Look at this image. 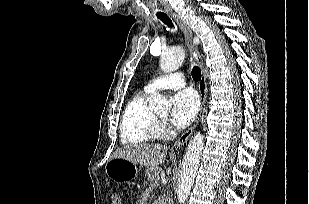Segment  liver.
Here are the masks:
<instances>
[{
    "label": "liver",
    "mask_w": 309,
    "mask_h": 204,
    "mask_svg": "<svg viewBox=\"0 0 309 204\" xmlns=\"http://www.w3.org/2000/svg\"><path fill=\"white\" fill-rule=\"evenodd\" d=\"M165 145L132 144L118 149L112 158H123L134 164L156 167L166 158Z\"/></svg>",
    "instance_id": "1"
}]
</instances>
